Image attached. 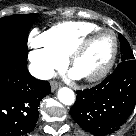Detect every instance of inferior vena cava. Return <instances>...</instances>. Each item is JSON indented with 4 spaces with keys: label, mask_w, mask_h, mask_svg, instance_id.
<instances>
[{
    "label": "inferior vena cava",
    "mask_w": 136,
    "mask_h": 136,
    "mask_svg": "<svg viewBox=\"0 0 136 136\" xmlns=\"http://www.w3.org/2000/svg\"><path fill=\"white\" fill-rule=\"evenodd\" d=\"M29 72L32 76L41 80H48L54 75L53 69L38 64H30Z\"/></svg>",
    "instance_id": "obj_1"
}]
</instances>
